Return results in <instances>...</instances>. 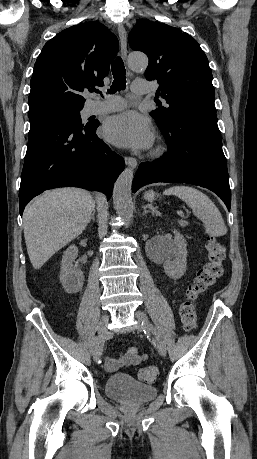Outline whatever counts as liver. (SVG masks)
I'll list each match as a JSON object with an SVG mask.
<instances>
[{
	"label": "liver",
	"instance_id": "6515ba94",
	"mask_svg": "<svg viewBox=\"0 0 257 459\" xmlns=\"http://www.w3.org/2000/svg\"><path fill=\"white\" fill-rule=\"evenodd\" d=\"M91 194L78 188L47 191L24 211V237L34 269L80 235L94 212Z\"/></svg>",
	"mask_w": 257,
	"mask_h": 459
}]
</instances>
